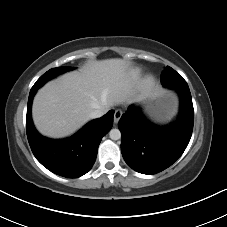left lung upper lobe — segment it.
<instances>
[{
  "mask_svg": "<svg viewBox=\"0 0 227 227\" xmlns=\"http://www.w3.org/2000/svg\"><path fill=\"white\" fill-rule=\"evenodd\" d=\"M161 82L169 88L188 87L186 81L169 66L162 72Z\"/></svg>",
  "mask_w": 227,
  "mask_h": 227,
  "instance_id": "5c2ea615",
  "label": "left lung upper lobe"
}]
</instances>
